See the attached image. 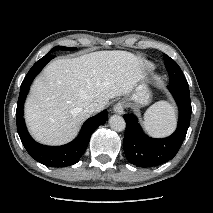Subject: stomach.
<instances>
[{
  "label": "stomach",
  "instance_id": "obj_1",
  "mask_svg": "<svg viewBox=\"0 0 213 213\" xmlns=\"http://www.w3.org/2000/svg\"><path fill=\"white\" fill-rule=\"evenodd\" d=\"M135 107L149 104L151 101V92L145 84H138L135 89L126 97Z\"/></svg>",
  "mask_w": 213,
  "mask_h": 213
}]
</instances>
